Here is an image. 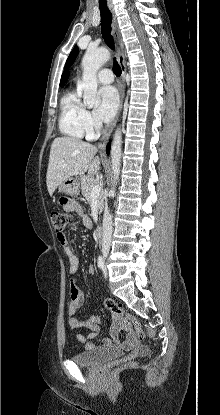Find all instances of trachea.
Instances as JSON below:
<instances>
[{"label": "trachea", "instance_id": "trachea-1", "mask_svg": "<svg viewBox=\"0 0 220 415\" xmlns=\"http://www.w3.org/2000/svg\"><path fill=\"white\" fill-rule=\"evenodd\" d=\"M100 13H101V34L102 37L109 48L114 50V41L111 35V22H112V14L108 9L106 4H99ZM113 71L116 76L121 75V68L116 58H114V65Z\"/></svg>", "mask_w": 220, "mask_h": 415}]
</instances>
